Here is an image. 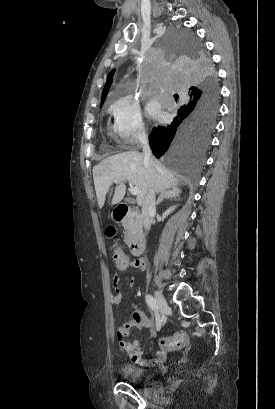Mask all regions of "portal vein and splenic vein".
I'll list each match as a JSON object with an SVG mask.
<instances>
[{
	"instance_id": "1",
	"label": "portal vein and splenic vein",
	"mask_w": 275,
	"mask_h": 409,
	"mask_svg": "<svg viewBox=\"0 0 275 409\" xmlns=\"http://www.w3.org/2000/svg\"><path fill=\"white\" fill-rule=\"evenodd\" d=\"M113 182H118V178H114ZM129 184H130L132 194H139L140 188H136V186H133V184H132V182H130V180H129Z\"/></svg>"
}]
</instances>
